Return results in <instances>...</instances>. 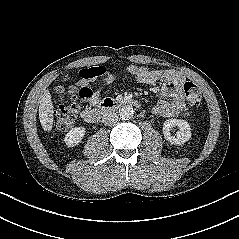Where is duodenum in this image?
Returning a JSON list of instances; mask_svg holds the SVG:
<instances>
[{
  "label": "duodenum",
  "mask_w": 239,
  "mask_h": 239,
  "mask_svg": "<svg viewBox=\"0 0 239 239\" xmlns=\"http://www.w3.org/2000/svg\"><path fill=\"white\" fill-rule=\"evenodd\" d=\"M125 105L139 106L140 103L128 98H106L101 100L95 107L85 108L82 111V118L88 123H96L108 112Z\"/></svg>",
  "instance_id": "410a0bca"
}]
</instances>
